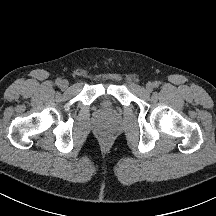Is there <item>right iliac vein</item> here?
<instances>
[{"label":"right iliac vein","instance_id":"1","mask_svg":"<svg viewBox=\"0 0 216 216\" xmlns=\"http://www.w3.org/2000/svg\"><path fill=\"white\" fill-rule=\"evenodd\" d=\"M68 86H69L68 80L65 79V80H62V81H61L60 87H61L62 89H66Z\"/></svg>","mask_w":216,"mask_h":216}]
</instances>
